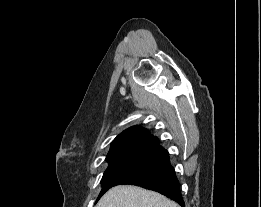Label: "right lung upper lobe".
<instances>
[{
    "mask_svg": "<svg viewBox=\"0 0 261 207\" xmlns=\"http://www.w3.org/2000/svg\"><path fill=\"white\" fill-rule=\"evenodd\" d=\"M106 160H153L160 164L169 160V153L147 129L132 126L114 139Z\"/></svg>",
    "mask_w": 261,
    "mask_h": 207,
    "instance_id": "right-lung-upper-lobe-1",
    "label": "right lung upper lobe"
}]
</instances>
